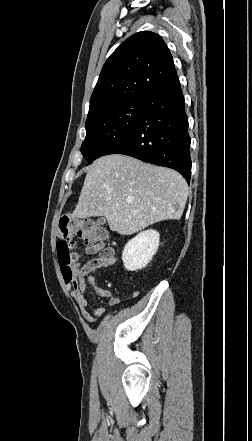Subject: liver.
Returning a JSON list of instances; mask_svg holds the SVG:
<instances>
[{
    "mask_svg": "<svg viewBox=\"0 0 252 441\" xmlns=\"http://www.w3.org/2000/svg\"><path fill=\"white\" fill-rule=\"evenodd\" d=\"M188 185L175 170L113 154L88 169L73 217L104 216L110 230L134 234L156 222L181 218Z\"/></svg>",
    "mask_w": 252,
    "mask_h": 441,
    "instance_id": "6515ba94",
    "label": "liver"
}]
</instances>
